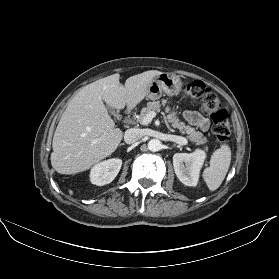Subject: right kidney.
<instances>
[{"label": "right kidney", "instance_id": "1", "mask_svg": "<svg viewBox=\"0 0 279 279\" xmlns=\"http://www.w3.org/2000/svg\"><path fill=\"white\" fill-rule=\"evenodd\" d=\"M122 160L112 158L95 164L90 171V181L97 186L111 183L119 173Z\"/></svg>", "mask_w": 279, "mask_h": 279}]
</instances>
